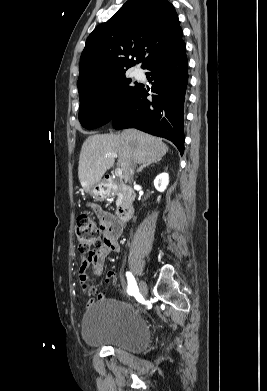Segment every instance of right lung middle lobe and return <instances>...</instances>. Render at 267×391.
I'll list each match as a JSON object with an SVG mask.
<instances>
[{"mask_svg": "<svg viewBox=\"0 0 267 391\" xmlns=\"http://www.w3.org/2000/svg\"><path fill=\"white\" fill-rule=\"evenodd\" d=\"M125 72L110 75L79 94V121L94 129L108 123L138 92L141 84L132 86Z\"/></svg>", "mask_w": 267, "mask_h": 391, "instance_id": "right-lung-middle-lobe-1", "label": "right lung middle lobe"}]
</instances>
